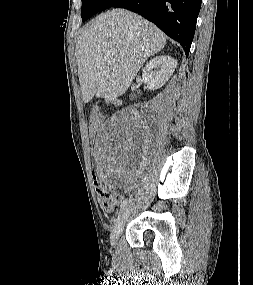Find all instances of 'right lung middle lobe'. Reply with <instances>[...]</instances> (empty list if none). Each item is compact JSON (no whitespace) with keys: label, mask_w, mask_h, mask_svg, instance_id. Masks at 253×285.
Listing matches in <instances>:
<instances>
[{"label":"right lung middle lobe","mask_w":253,"mask_h":285,"mask_svg":"<svg viewBox=\"0 0 253 285\" xmlns=\"http://www.w3.org/2000/svg\"><path fill=\"white\" fill-rule=\"evenodd\" d=\"M118 0H82L81 17L86 21L95 13L112 7Z\"/></svg>","instance_id":"1"}]
</instances>
